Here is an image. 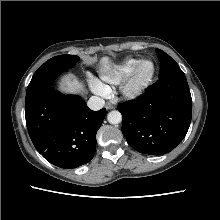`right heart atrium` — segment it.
<instances>
[{"label":"right heart atrium","instance_id":"right-heart-atrium-1","mask_svg":"<svg viewBox=\"0 0 220 220\" xmlns=\"http://www.w3.org/2000/svg\"><path fill=\"white\" fill-rule=\"evenodd\" d=\"M92 88H93L94 92L97 94H100V95L105 94V90L103 89L100 82H98V81L93 82Z\"/></svg>","mask_w":220,"mask_h":220}]
</instances>
